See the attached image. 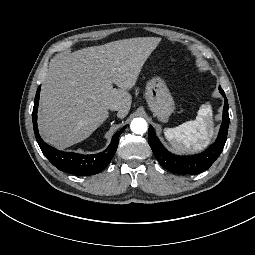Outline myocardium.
<instances>
[{
  "label": "myocardium",
  "mask_w": 255,
  "mask_h": 255,
  "mask_svg": "<svg viewBox=\"0 0 255 255\" xmlns=\"http://www.w3.org/2000/svg\"><path fill=\"white\" fill-rule=\"evenodd\" d=\"M152 92H153V90L151 91V93H152ZM135 102H136V98H135L134 95H132V96L130 97V100H129V104H130V108H129V109H130V113H131V106H134ZM146 104H147V105H146V107L143 108V110L147 111L148 113H151V112L154 110V108H153V106H152V104H151V102H150V95H148V96L146 97ZM172 114H173V109H171V110L169 111V113H168V115H167L165 121L163 122V127H164V129H161V130H159V131H157V132L151 131V130L145 128V127H140V126H138V127H139L141 130L144 131V133L146 134V136H147L149 139H153V140H155V141H158V142L161 143L162 145H169L170 142H169L168 139L166 138L164 130H167V128H168V121L170 120ZM123 120H125V119L120 118L118 121L121 122V121H123ZM133 123H135V120H133Z\"/></svg>",
  "instance_id": "obj_1"
}]
</instances>
